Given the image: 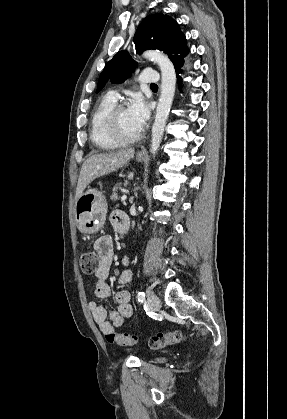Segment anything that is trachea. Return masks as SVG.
<instances>
[{
	"instance_id": "1",
	"label": "trachea",
	"mask_w": 287,
	"mask_h": 419,
	"mask_svg": "<svg viewBox=\"0 0 287 419\" xmlns=\"http://www.w3.org/2000/svg\"><path fill=\"white\" fill-rule=\"evenodd\" d=\"M150 86H152V87H157V85H156V84H151Z\"/></svg>"
}]
</instances>
